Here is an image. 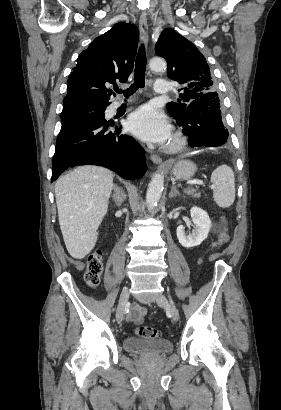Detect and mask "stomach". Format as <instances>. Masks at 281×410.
I'll return each mask as SVG.
<instances>
[{
  "label": "stomach",
  "instance_id": "0dacf381",
  "mask_svg": "<svg viewBox=\"0 0 281 410\" xmlns=\"http://www.w3.org/2000/svg\"><path fill=\"white\" fill-rule=\"evenodd\" d=\"M197 170L196 164L189 160H180L172 167V174L176 179H189Z\"/></svg>",
  "mask_w": 281,
  "mask_h": 410
}]
</instances>
